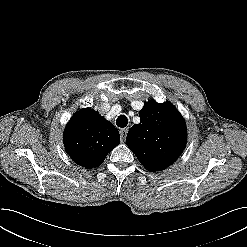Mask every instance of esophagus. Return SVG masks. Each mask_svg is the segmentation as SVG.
<instances>
[{
    "instance_id": "esophagus-1",
    "label": "esophagus",
    "mask_w": 247,
    "mask_h": 247,
    "mask_svg": "<svg viewBox=\"0 0 247 247\" xmlns=\"http://www.w3.org/2000/svg\"><path fill=\"white\" fill-rule=\"evenodd\" d=\"M127 133H128V128H122L120 129V137L122 139V141L125 140L126 136H127Z\"/></svg>"
}]
</instances>
